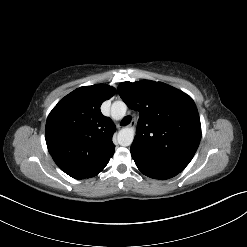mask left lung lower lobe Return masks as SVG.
Listing matches in <instances>:
<instances>
[{
	"instance_id": "left-lung-lower-lobe-1",
	"label": "left lung lower lobe",
	"mask_w": 247,
	"mask_h": 247,
	"mask_svg": "<svg viewBox=\"0 0 247 247\" xmlns=\"http://www.w3.org/2000/svg\"><path fill=\"white\" fill-rule=\"evenodd\" d=\"M130 151L138 169L150 178L165 180L180 173L177 170L162 165L159 161L147 154L134 149H130Z\"/></svg>"
}]
</instances>
